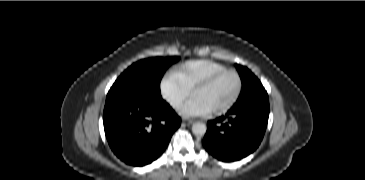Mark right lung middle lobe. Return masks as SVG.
I'll use <instances>...</instances> for the list:
<instances>
[{"label":"right lung middle lobe","instance_id":"dd1d6c3e","mask_svg":"<svg viewBox=\"0 0 365 180\" xmlns=\"http://www.w3.org/2000/svg\"><path fill=\"white\" fill-rule=\"evenodd\" d=\"M179 57L150 58L134 63L125 70L110 88L106 101L128 94L161 95L160 81L169 65Z\"/></svg>","mask_w":365,"mask_h":180}]
</instances>
